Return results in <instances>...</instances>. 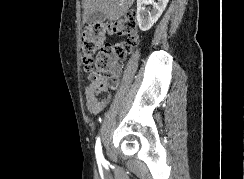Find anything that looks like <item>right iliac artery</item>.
I'll return each mask as SVG.
<instances>
[{"label": "right iliac artery", "mask_w": 244, "mask_h": 179, "mask_svg": "<svg viewBox=\"0 0 244 179\" xmlns=\"http://www.w3.org/2000/svg\"><path fill=\"white\" fill-rule=\"evenodd\" d=\"M95 154H96V158L98 161H103L104 157L102 154V146H101V142H100V138H97L96 141V146H95Z\"/></svg>", "instance_id": "1"}]
</instances>
